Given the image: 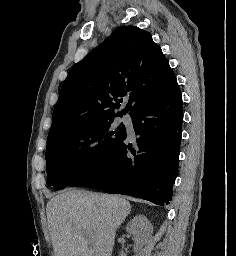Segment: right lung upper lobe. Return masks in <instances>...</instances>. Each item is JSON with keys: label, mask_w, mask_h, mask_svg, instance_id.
I'll list each match as a JSON object with an SVG mask.
<instances>
[{"label": "right lung upper lobe", "mask_w": 236, "mask_h": 256, "mask_svg": "<svg viewBox=\"0 0 236 256\" xmlns=\"http://www.w3.org/2000/svg\"><path fill=\"white\" fill-rule=\"evenodd\" d=\"M176 82L151 34L135 26H121L71 68L53 111L48 138L126 112L132 116ZM123 97L128 103L116 114Z\"/></svg>", "instance_id": "1"}]
</instances>
